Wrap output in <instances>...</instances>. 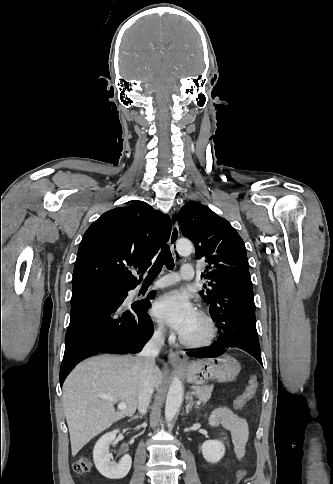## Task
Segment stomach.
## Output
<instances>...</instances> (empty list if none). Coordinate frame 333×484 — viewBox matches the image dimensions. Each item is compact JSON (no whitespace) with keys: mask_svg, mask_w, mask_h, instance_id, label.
<instances>
[{"mask_svg":"<svg viewBox=\"0 0 333 484\" xmlns=\"http://www.w3.org/2000/svg\"><path fill=\"white\" fill-rule=\"evenodd\" d=\"M241 366L230 355L190 361L184 366L187 381L195 385H204L209 381L230 382L239 374Z\"/></svg>","mask_w":333,"mask_h":484,"instance_id":"obj_1","label":"stomach"}]
</instances>
